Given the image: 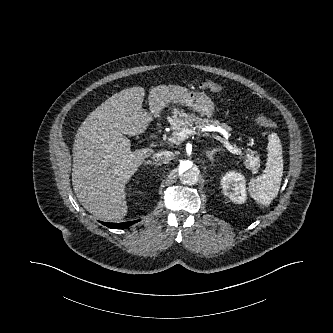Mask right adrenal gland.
<instances>
[{
  "mask_svg": "<svg viewBox=\"0 0 333 333\" xmlns=\"http://www.w3.org/2000/svg\"><path fill=\"white\" fill-rule=\"evenodd\" d=\"M146 163H147V164L156 165V166H159V165H160L159 163L154 162V161H150V160H148Z\"/></svg>",
  "mask_w": 333,
  "mask_h": 333,
  "instance_id": "2a0ac1e0",
  "label": "right adrenal gland"
}]
</instances>
